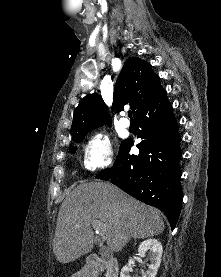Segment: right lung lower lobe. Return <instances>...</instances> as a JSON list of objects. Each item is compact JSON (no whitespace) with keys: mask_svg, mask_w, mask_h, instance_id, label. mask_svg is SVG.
Masks as SVG:
<instances>
[{"mask_svg":"<svg viewBox=\"0 0 221 277\" xmlns=\"http://www.w3.org/2000/svg\"><path fill=\"white\" fill-rule=\"evenodd\" d=\"M139 130V155H131L132 139L124 140L111 169L97 178L108 180L138 200L162 210L172 230L182 205L180 135L164 90L134 117Z\"/></svg>","mask_w":221,"mask_h":277,"instance_id":"obj_1","label":"right lung lower lobe"}]
</instances>
